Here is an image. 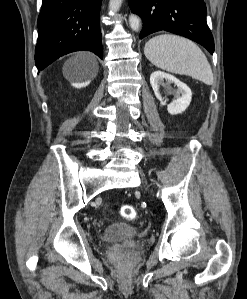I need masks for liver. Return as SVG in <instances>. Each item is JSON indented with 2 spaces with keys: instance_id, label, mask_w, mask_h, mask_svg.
<instances>
[{
  "instance_id": "1",
  "label": "liver",
  "mask_w": 247,
  "mask_h": 299,
  "mask_svg": "<svg viewBox=\"0 0 247 299\" xmlns=\"http://www.w3.org/2000/svg\"><path fill=\"white\" fill-rule=\"evenodd\" d=\"M78 66L84 68L89 78L97 75L98 72V62L94 55L90 53H78L72 57L67 63L66 68Z\"/></svg>"
}]
</instances>
